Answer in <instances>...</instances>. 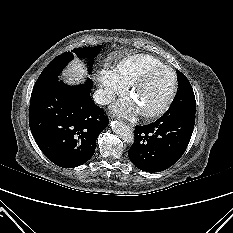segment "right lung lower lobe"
I'll use <instances>...</instances> for the list:
<instances>
[{
	"label": "right lung lower lobe",
	"instance_id": "obj_1",
	"mask_svg": "<svg viewBox=\"0 0 233 233\" xmlns=\"http://www.w3.org/2000/svg\"><path fill=\"white\" fill-rule=\"evenodd\" d=\"M91 88V79L78 86L57 79L32 91V135L44 155L60 167L87 162L95 152L98 135L108 125L103 110L91 99Z\"/></svg>",
	"mask_w": 233,
	"mask_h": 233
}]
</instances>
